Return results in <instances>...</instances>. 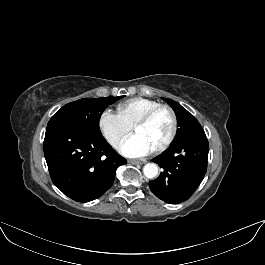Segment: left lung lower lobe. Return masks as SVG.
Listing matches in <instances>:
<instances>
[{
	"instance_id": "obj_1",
	"label": "left lung lower lobe",
	"mask_w": 265,
	"mask_h": 265,
	"mask_svg": "<svg viewBox=\"0 0 265 265\" xmlns=\"http://www.w3.org/2000/svg\"><path fill=\"white\" fill-rule=\"evenodd\" d=\"M208 150L209 143L204 131L172 143L165 152L153 159L162 172L149 182L151 191L170 204L187 200L204 178Z\"/></svg>"
}]
</instances>
